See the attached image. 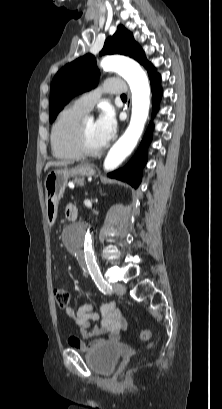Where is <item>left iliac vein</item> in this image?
<instances>
[{
	"instance_id": "obj_1",
	"label": "left iliac vein",
	"mask_w": 222,
	"mask_h": 409,
	"mask_svg": "<svg viewBox=\"0 0 222 409\" xmlns=\"http://www.w3.org/2000/svg\"><path fill=\"white\" fill-rule=\"evenodd\" d=\"M113 291L114 293H116L117 295H124L125 294V287L123 284L121 283H115L113 285Z\"/></svg>"
}]
</instances>
